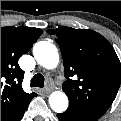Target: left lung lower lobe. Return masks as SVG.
<instances>
[{"label": "left lung lower lobe", "instance_id": "1", "mask_svg": "<svg viewBox=\"0 0 121 121\" xmlns=\"http://www.w3.org/2000/svg\"><path fill=\"white\" fill-rule=\"evenodd\" d=\"M57 117L60 121H96V119L85 117L69 110L64 113L57 114Z\"/></svg>", "mask_w": 121, "mask_h": 121}]
</instances>
